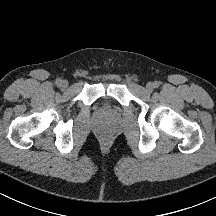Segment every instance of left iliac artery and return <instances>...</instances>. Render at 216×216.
<instances>
[{
  "mask_svg": "<svg viewBox=\"0 0 216 216\" xmlns=\"http://www.w3.org/2000/svg\"><path fill=\"white\" fill-rule=\"evenodd\" d=\"M154 86H155V87H158V86H159V83H158V82H155V83H154Z\"/></svg>",
  "mask_w": 216,
  "mask_h": 216,
  "instance_id": "1",
  "label": "left iliac artery"
}]
</instances>
